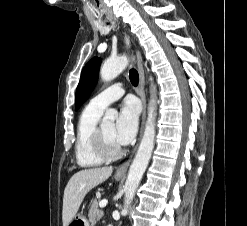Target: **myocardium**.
I'll return each instance as SVG.
<instances>
[{"label": "myocardium", "instance_id": "obj_1", "mask_svg": "<svg viewBox=\"0 0 247 226\" xmlns=\"http://www.w3.org/2000/svg\"><path fill=\"white\" fill-rule=\"evenodd\" d=\"M92 147L95 154L103 161L116 160L123 153V149L121 147L116 149L115 151H109L107 149L102 132V125H98L93 133Z\"/></svg>", "mask_w": 247, "mask_h": 226}]
</instances>
